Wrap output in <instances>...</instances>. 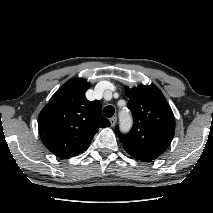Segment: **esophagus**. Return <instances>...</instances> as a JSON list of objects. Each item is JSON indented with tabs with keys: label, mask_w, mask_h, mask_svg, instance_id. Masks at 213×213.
<instances>
[{
	"label": "esophagus",
	"mask_w": 213,
	"mask_h": 213,
	"mask_svg": "<svg viewBox=\"0 0 213 213\" xmlns=\"http://www.w3.org/2000/svg\"><path fill=\"white\" fill-rule=\"evenodd\" d=\"M116 122H117V117L116 116H113L112 118H110V123H111L112 127L115 126Z\"/></svg>",
	"instance_id": "esophagus-1"
}]
</instances>
